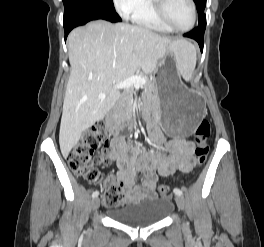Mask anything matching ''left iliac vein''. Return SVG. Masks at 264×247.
Masks as SVG:
<instances>
[{
	"label": "left iliac vein",
	"instance_id": "left-iliac-vein-1",
	"mask_svg": "<svg viewBox=\"0 0 264 247\" xmlns=\"http://www.w3.org/2000/svg\"><path fill=\"white\" fill-rule=\"evenodd\" d=\"M175 200H176V203H177L178 207L181 210H184V208H185V199H184V197L182 195H176Z\"/></svg>",
	"mask_w": 264,
	"mask_h": 247
}]
</instances>
